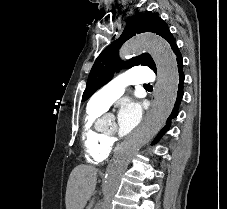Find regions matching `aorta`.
<instances>
[{"label": "aorta", "instance_id": "1", "mask_svg": "<svg viewBox=\"0 0 227 209\" xmlns=\"http://www.w3.org/2000/svg\"><path fill=\"white\" fill-rule=\"evenodd\" d=\"M142 51L151 55L157 67L158 94L155 108L136 139L122 145L108 165L102 186L103 200L98 209H111V201L128 164L139 148L162 129L176 99L179 75L175 54L170 45L159 36L143 34L126 42L120 50V57L125 59Z\"/></svg>", "mask_w": 227, "mask_h": 209}]
</instances>
